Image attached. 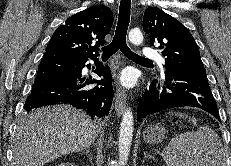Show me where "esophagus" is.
<instances>
[{
  "mask_svg": "<svg viewBox=\"0 0 231 166\" xmlns=\"http://www.w3.org/2000/svg\"><path fill=\"white\" fill-rule=\"evenodd\" d=\"M127 101V95L124 89L121 87L116 88L115 92V111L117 116H121L125 110Z\"/></svg>",
  "mask_w": 231,
  "mask_h": 166,
  "instance_id": "esophagus-1",
  "label": "esophagus"
}]
</instances>
